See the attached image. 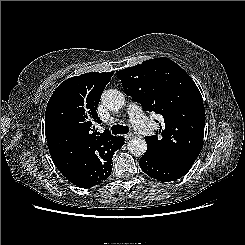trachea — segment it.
<instances>
[{
    "label": "trachea",
    "instance_id": "obj_1",
    "mask_svg": "<svg viewBox=\"0 0 245 245\" xmlns=\"http://www.w3.org/2000/svg\"><path fill=\"white\" fill-rule=\"evenodd\" d=\"M112 134L117 135V134H127L129 132V128L127 126L115 124L111 128Z\"/></svg>",
    "mask_w": 245,
    "mask_h": 245
}]
</instances>
